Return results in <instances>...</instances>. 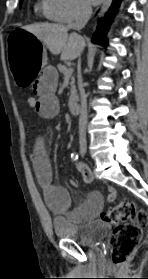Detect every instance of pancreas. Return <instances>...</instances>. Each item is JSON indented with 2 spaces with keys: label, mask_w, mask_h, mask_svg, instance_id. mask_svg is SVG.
I'll list each match as a JSON object with an SVG mask.
<instances>
[{
  "label": "pancreas",
  "mask_w": 148,
  "mask_h": 279,
  "mask_svg": "<svg viewBox=\"0 0 148 279\" xmlns=\"http://www.w3.org/2000/svg\"><path fill=\"white\" fill-rule=\"evenodd\" d=\"M58 69L59 71H61L64 75H65V72L69 69H67L65 66L63 65H58ZM70 78H71V82H70V85H71V98L76 100L77 99V94H76V86H75V79L74 77L72 76V74L70 75Z\"/></svg>",
  "instance_id": "1"
}]
</instances>
